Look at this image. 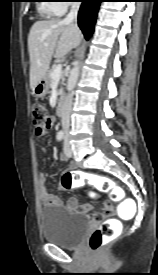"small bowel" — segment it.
<instances>
[{"label":"small bowel","instance_id":"c3829d8e","mask_svg":"<svg viewBox=\"0 0 158 275\" xmlns=\"http://www.w3.org/2000/svg\"><path fill=\"white\" fill-rule=\"evenodd\" d=\"M45 151V149H43ZM61 160H66L65 156H61ZM75 164H70L68 170H73ZM48 177L44 173H40L38 176V189L40 199L45 206L60 205L61 200L48 192ZM62 187V186H61ZM67 207L72 211H78L83 213H88L91 217H94L96 213H91V206L89 204H79L75 198H70L67 201Z\"/></svg>","mask_w":158,"mask_h":275}]
</instances>
